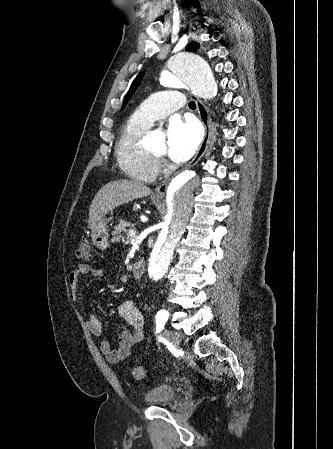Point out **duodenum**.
Returning a JSON list of instances; mask_svg holds the SVG:
<instances>
[{"label": "duodenum", "instance_id": "410a0bca", "mask_svg": "<svg viewBox=\"0 0 333 449\" xmlns=\"http://www.w3.org/2000/svg\"><path fill=\"white\" fill-rule=\"evenodd\" d=\"M144 270H145L144 262H142V261L135 262L131 267V271H132L134 279L140 280L144 274Z\"/></svg>", "mask_w": 333, "mask_h": 449}]
</instances>
